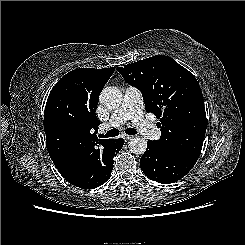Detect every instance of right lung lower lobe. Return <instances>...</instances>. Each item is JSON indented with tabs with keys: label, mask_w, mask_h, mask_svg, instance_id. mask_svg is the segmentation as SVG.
<instances>
[{
	"label": "right lung lower lobe",
	"mask_w": 245,
	"mask_h": 245,
	"mask_svg": "<svg viewBox=\"0 0 245 245\" xmlns=\"http://www.w3.org/2000/svg\"><path fill=\"white\" fill-rule=\"evenodd\" d=\"M123 145L122 138L100 141L76 161L54 159L52 161L63 178L70 184L83 189H93L110 178L114 166L113 157Z\"/></svg>",
	"instance_id": "98d812e1"
}]
</instances>
